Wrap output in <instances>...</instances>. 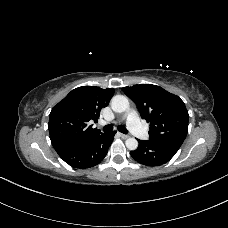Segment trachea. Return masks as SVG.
<instances>
[{
    "mask_svg": "<svg viewBox=\"0 0 228 228\" xmlns=\"http://www.w3.org/2000/svg\"><path fill=\"white\" fill-rule=\"evenodd\" d=\"M112 130H113V126L112 125H106V126L103 127V131L104 132H110ZM118 131H120V132H122L124 134H126L128 132L127 129L124 126H119L118 127Z\"/></svg>",
    "mask_w": 228,
    "mask_h": 228,
    "instance_id": "1",
    "label": "trachea"
}]
</instances>
